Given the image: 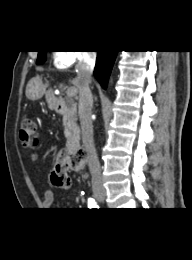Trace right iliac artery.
Masks as SVG:
<instances>
[{"label":"right iliac artery","mask_w":192,"mask_h":260,"mask_svg":"<svg viewBox=\"0 0 192 260\" xmlns=\"http://www.w3.org/2000/svg\"><path fill=\"white\" fill-rule=\"evenodd\" d=\"M87 204L90 209L98 208V204L93 198H89Z\"/></svg>","instance_id":"82829eb1"}]
</instances>
